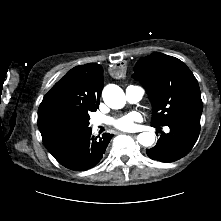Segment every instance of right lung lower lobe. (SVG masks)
<instances>
[{
  "mask_svg": "<svg viewBox=\"0 0 221 221\" xmlns=\"http://www.w3.org/2000/svg\"><path fill=\"white\" fill-rule=\"evenodd\" d=\"M92 130L85 132L69 145L51 152L54 158L66 168L84 171L94 167L103 157L113 137L104 133L101 138L92 136Z\"/></svg>",
  "mask_w": 221,
  "mask_h": 221,
  "instance_id": "98d812e1",
  "label": "right lung lower lobe"
}]
</instances>
